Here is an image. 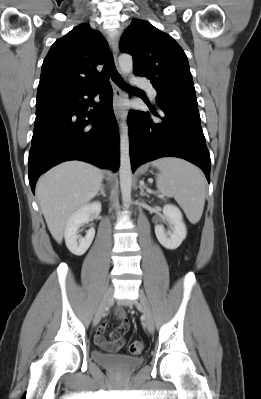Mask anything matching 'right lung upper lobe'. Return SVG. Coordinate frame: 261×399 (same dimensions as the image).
Returning <instances> with one entry per match:
<instances>
[{"mask_svg":"<svg viewBox=\"0 0 261 399\" xmlns=\"http://www.w3.org/2000/svg\"><path fill=\"white\" fill-rule=\"evenodd\" d=\"M102 34L86 23L73 28L57 40L45 57L37 91L36 104L54 100L92 87L107 55Z\"/></svg>","mask_w":261,"mask_h":399,"instance_id":"1","label":"right lung upper lobe"}]
</instances>
